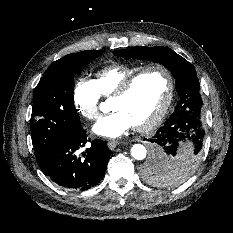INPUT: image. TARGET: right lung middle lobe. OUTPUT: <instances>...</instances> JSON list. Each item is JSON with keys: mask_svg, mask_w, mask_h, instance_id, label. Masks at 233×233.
<instances>
[{"mask_svg": "<svg viewBox=\"0 0 233 233\" xmlns=\"http://www.w3.org/2000/svg\"><path fill=\"white\" fill-rule=\"evenodd\" d=\"M103 52L88 50L67 55L58 65L48 67L35 88L30 127L40 167L67 133L81 127L74 107V74Z\"/></svg>", "mask_w": 233, "mask_h": 233, "instance_id": "dd1d6c3e", "label": "right lung middle lobe"}]
</instances>
